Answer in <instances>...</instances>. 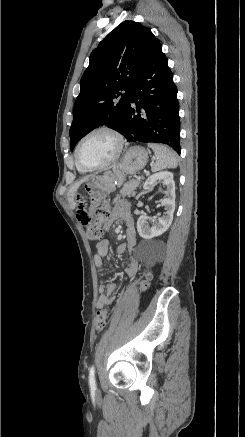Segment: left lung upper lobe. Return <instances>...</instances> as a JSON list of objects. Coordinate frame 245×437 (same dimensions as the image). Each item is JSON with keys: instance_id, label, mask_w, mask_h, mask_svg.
I'll list each match as a JSON object with an SVG mask.
<instances>
[{"instance_id": "obj_1", "label": "left lung upper lobe", "mask_w": 245, "mask_h": 437, "mask_svg": "<svg viewBox=\"0 0 245 437\" xmlns=\"http://www.w3.org/2000/svg\"><path fill=\"white\" fill-rule=\"evenodd\" d=\"M160 44L150 29L134 21L119 24L94 49L80 81L70 150L100 125L124 134L130 91L153 49Z\"/></svg>"}]
</instances>
